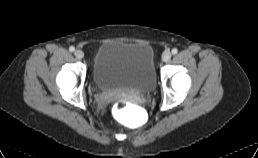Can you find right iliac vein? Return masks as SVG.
<instances>
[{"instance_id":"63e3f726","label":"right iliac vein","mask_w":258,"mask_h":158,"mask_svg":"<svg viewBox=\"0 0 258 158\" xmlns=\"http://www.w3.org/2000/svg\"><path fill=\"white\" fill-rule=\"evenodd\" d=\"M74 55L77 59H82L84 57V52L82 50L78 49L74 52Z\"/></svg>"}]
</instances>
